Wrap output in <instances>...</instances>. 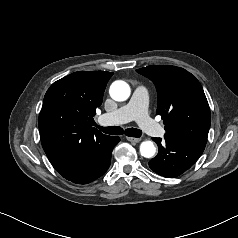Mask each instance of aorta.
Returning <instances> with one entry per match:
<instances>
[{
	"label": "aorta",
	"instance_id": "762f6f07",
	"mask_svg": "<svg viewBox=\"0 0 238 238\" xmlns=\"http://www.w3.org/2000/svg\"><path fill=\"white\" fill-rule=\"evenodd\" d=\"M130 92L129 85L122 80L113 82L109 89L110 96L115 101L127 100L130 96ZM140 153L145 158H152L156 153V147L154 143L150 140L143 141L140 145Z\"/></svg>",
	"mask_w": 238,
	"mask_h": 238
}]
</instances>
